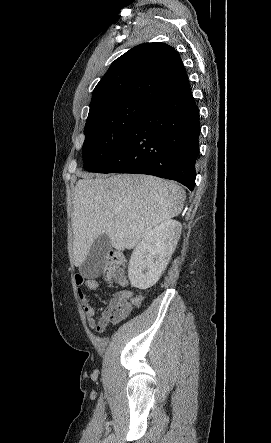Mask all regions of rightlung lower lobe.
Returning <instances> with one entry per match:
<instances>
[{"instance_id":"1","label":"right lung lower lobe","mask_w":271,"mask_h":443,"mask_svg":"<svg viewBox=\"0 0 271 443\" xmlns=\"http://www.w3.org/2000/svg\"><path fill=\"white\" fill-rule=\"evenodd\" d=\"M199 110L191 89L153 102L97 173H140L191 191L199 152Z\"/></svg>"}]
</instances>
